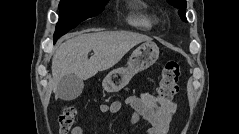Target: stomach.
Listing matches in <instances>:
<instances>
[{
  "label": "stomach",
  "mask_w": 239,
  "mask_h": 134,
  "mask_svg": "<svg viewBox=\"0 0 239 134\" xmlns=\"http://www.w3.org/2000/svg\"><path fill=\"white\" fill-rule=\"evenodd\" d=\"M159 57V48L152 41H146L134 50L126 67L116 68L104 78L102 85L107 92H116L124 87L139 71L153 65Z\"/></svg>",
  "instance_id": "0dacf381"
}]
</instances>
